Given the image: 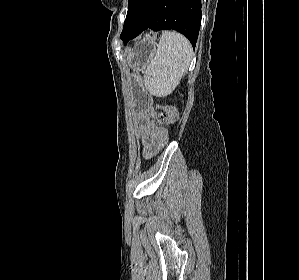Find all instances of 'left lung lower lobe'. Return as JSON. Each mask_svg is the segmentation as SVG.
Wrapping results in <instances>:
<instances>
[{"mask_svg":"<svg viewBox=\"0 0 299 280\" xmlns=\"http://www.w3.org/2000/svg\"><path fill=\"white\" fill-rule=\"evenodd\" d=\"M201 16V0H133L120 37L126 45L145 29H174L195 48Z\"/></svg>","mask_w":299,"mask_h":280,"instance_id":"left-lung-lower-lobe-1","label":"left lung lower lobe"}]
</instances>
